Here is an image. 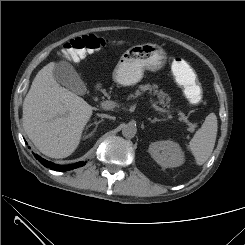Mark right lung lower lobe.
Segmentation results:
<instances>
[{"mask_svg":"<svg viewBox=\"0 0 245 245\" xmlns=\"http://www.w3.org/2000/svg\"><path fill=\"white\" fill-rule=\"evenodd\" d=\"M35 158L37 160H39V162H41V164H43L45 167H48L50 169H53L55 171H67V170H72L78 167H81L83 165H85L86 162H78L75 164H70V165H66V166H61L58 164H54L52 162H49L43 158H41L40 156H38L37 154L35 155Z\"/></svg>","mask_w":245,"mask_h":245,"instance_id":"obj_1","label":"right lung lower lobe"}]
</instances>
